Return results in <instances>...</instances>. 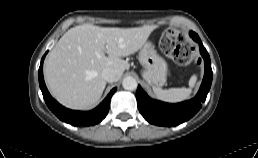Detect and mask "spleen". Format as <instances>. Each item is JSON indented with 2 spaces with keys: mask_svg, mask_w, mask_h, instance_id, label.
<instances>
[{
  "mask_svg": "<svg viewBox=\"0 0 258 158\" xmlns=\"http://www.w3.org/2000/svg\"><path fill=\"white\" fill-rule=\"evenodd\" d=\"M197 81V76L193 75L189 80V88H170V89H162L157 86H153V92L157 98L171 103L180 102L186 100L190 97L192 92V88L195 86Z\"/></svg>",
  "mask_w": 258,
  "mask_h": 158,
  "instance_id": "1",
  "label": "spleen"
}]
</instances>
